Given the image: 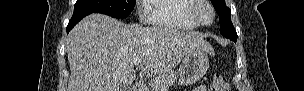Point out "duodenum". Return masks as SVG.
Returning a JSON list of instances; mask_svg holds the SVG:
<instances>
[{
	"label": "duodenum",
	"mask_w": 304,
	"mask_h": 91,
	"mask_svg": "<svg viewBox=\"0 0 304 91\" xmlns=\"http://www.w3.org/2000/svg\"><path fill=\"white\" fill-rule=\"evenodd\" d=\"M134 91H145V86L143 83L137 82L133 85Z\"/></svg>",
	"instance_id": "410a0bca"
}]
</instances>
